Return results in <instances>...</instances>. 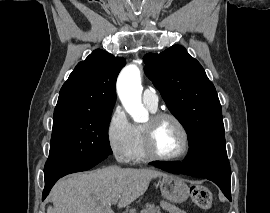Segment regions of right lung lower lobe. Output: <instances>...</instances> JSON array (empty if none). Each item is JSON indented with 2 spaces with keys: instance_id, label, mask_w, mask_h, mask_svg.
Returning a JSON list of instances; mask_svg holds the SVG:
<instances>
[{
  "instance_id": "right-lung-lower-lobe-1",
  "label": "right lung lower lobe",
  "mask_w": 270,
  "mask_h": 213,
  "mask_svg": "<svg viewBox=\"0 0 270 213\" xmlns=\"http://www.w3.org/2000/svg\"><path fill=\"white\" fill-rule=\"evenodd\" d=\"M105 158H107V156L106 157H98V158H95V159H92V160L86 161V162L66 165V166H63L60 168L45 169L44 170L45 188L43 191L42 200H44L46 198V196L49 194V191L51 190V188L53 187V185L56 183V181L58 179H60L61 177L65 176L67 174L86 171V170L94 167L95 165H97L101 161H103Z\"/></svg>"
}]
</instances>
